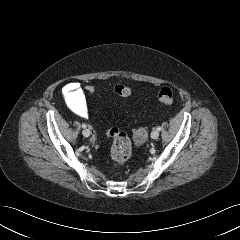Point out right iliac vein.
Instances as JSON below:
<instances>
[{
	"label": "right iliac vein",
	"instance_id": "obj_1",
	"mask_svg": "<svg viewBox=\"0 0 240 240\" xmlns=\"http://www.w3.org/2000/svg\"><path fill=\"white\" fill-rule=\"evenodd\" d=\"M82 134H83L84 137H89L90 134H91V132H90L89 129H84V130L82 131Z\"/></svg>",
	"mask_w": 240,
	"mask_h": 240
}]
</instances>
